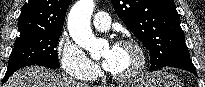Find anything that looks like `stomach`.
Wrapping results in <instances>:
<instances>
[{"instance_id":"0dacf381","label":"stomach","mask_w":205,"mask_h":87,"mask_svg":"<svg viewBox=\"0 0 205 87\" xmlns=\"http://www.w3.org/2000/svg\"><path fill=\"white\" fill-rule=\"evenodd\" d=\"M126 87H180V83L173 74L156 71L141 75Z\"/></svg>"}]
</instances>
